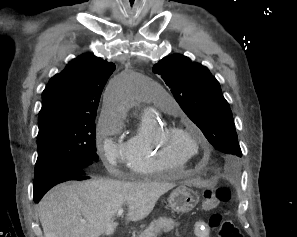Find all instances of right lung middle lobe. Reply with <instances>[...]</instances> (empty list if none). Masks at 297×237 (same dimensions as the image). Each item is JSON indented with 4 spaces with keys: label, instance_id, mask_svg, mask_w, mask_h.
<instances>
[{
    "label": "right lung middle lobe",
    "instance_id": "right-lung-middle-lobe-1",
    "mask_svg": "<svg viewBox=\"0 0 297 237\" xmlns=\"http://www.w3.org/2000/svg\"><path fill=\"white\" fill-rule=\"evenodd\" d=\"M38 158L34 188L51 183L61 169L86 170L98 159L95 143V117H58L39 123Z\"/></svg>",
    "mask_w": 297,
    "mask_h": 237
}]
</instances>
